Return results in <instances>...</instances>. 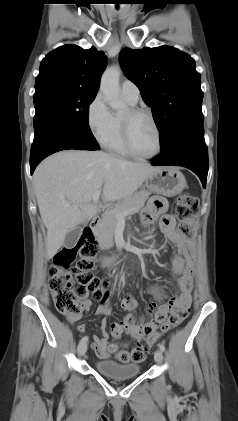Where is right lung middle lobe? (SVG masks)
<instances>
[{
  "label": "right lung middle lobe",
  "instance_id": "right-lung-middle-lobe-1",
  "mask_svg": "<svg viewBox=\"0 0 238 421\" xmlns=\"http://www.w3.org/2000/svg\"><path fill=\"white\" fill-rule=\"evenodd\" d=\"M96 93L56 85L35 88L34 130L46 120H56L82 137L97 143L89 124V105Z\"/></svg>",
  "mask_w": 238,
  "mask_h": 421
}]
</instances>
